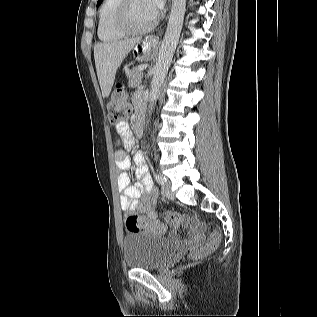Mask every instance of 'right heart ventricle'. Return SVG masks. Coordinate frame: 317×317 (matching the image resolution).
<instances>
[{"instance_id":"e07e8e85","label":"right heart ventricle","mask_w":317,"mask_h":317,"mask_svg":"<svg viewBox=\"0 0 317 317\" xmlns=\"http://www.w3.org/2000/svg\"><path fill=\"white\" fill-rule=\"evenodd\" d=\"M119 2L120 0H103L101 4L97 34L103 42H114L125 36L114 26V15Z\"/></svg>"}]
</instances>
